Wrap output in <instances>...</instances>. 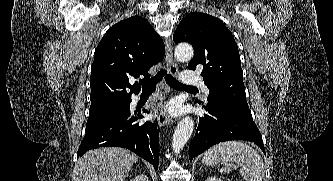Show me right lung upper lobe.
I'll return each instance as SVG.
<instances>
[{
    "instance_id": "cb5924a9",
    "label": "right lung upper lobe",
    "mask_w": 333,
    "mask_h": 181,
    "mask_svg": "<svg viewBox=\"0 0 333 181\" xmlns=\"http://www.w3.org/2000/svg\"><path fill=\"white\" fill-rule=\"evenodd\" d=\"M164 54L162 39L143 17L133 16L113 25L95 49L90 110L130 100L131 94L140 91L138 82H130L141 75L144 79L140 82L149 79V68Z\"/></svg>"
}]
</instances>
